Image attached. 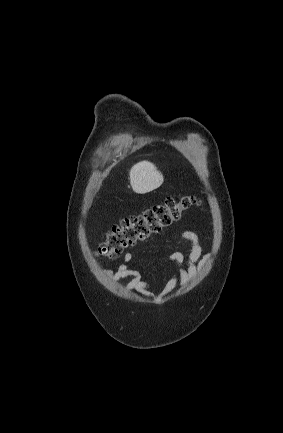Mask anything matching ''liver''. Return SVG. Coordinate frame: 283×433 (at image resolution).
Here are the masks:
<instances>
[{
    "mask_svg": "<svg viewBox=\"0 0 283 433\" xmlns=\"http://www.w3.org/2000/svg\"><path fill=\"white\" fill-rule=\"evenodd\" d=\"M129 178L134 192H139V194L158 188L164 180L162 172L157 170V166L149 160H141L133 164Z\"/></svg>",
    "mask_w": 283,
    "mask_h": 433,
    "instance_id": "6515ba94",
    "label": "liver"
}]
</instances>
